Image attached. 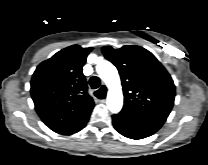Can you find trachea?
<instances>
[{
	"label": "trachea",
	"mask_w": 208,
	"mask_h": 165,
	"mask_svg": "<svg viewBox=\"0 0 208 165\" xmlns=\"http://www.w3.org/2000/svg\"><path fill=\"white\" fill-rule=\"evenodd\" d=\"M89 84L92 89H97L100 86V79L96 76H93L89 80ZM95 96L98 97L99 99H104L106 96V90L105 88H100L95 92Z\"/></svg>",
	"instance_id": "trachea-1"
}]
</instances>
